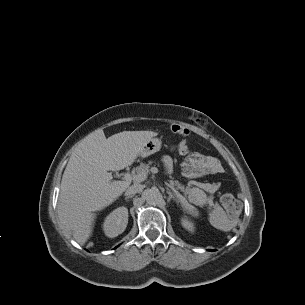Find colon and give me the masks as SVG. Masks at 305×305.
I'll list each match as a JSON object with an SVG mask.
<instances>
[{"instance_id":"colon-1","label":"colon","mask_w":305,"mask_h":305,"mask_svg":"<svg viewBox=\"0 0 305 305\" xmlns=\"http://www.w3.org/2000/svg\"><path fill=\"white\" fill-rule=\"evenodd\" d=\"M170 129L174 134H177L182 138H185L189 135V130L180 125L174 124L170 127ZM180 145H186L184 139L181 140ZM221 204L230 217H234L240 212V203L232 194L223 195L221 198Z\"/></svg>"}]
</instances>
